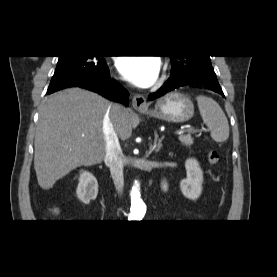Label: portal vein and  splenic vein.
I'll return each mask as SVG.
<instances>
[{
    "label": "portal vein and splenic vein",
    "instance_id": "18ae733b",
    "mask_svg": "<svg viewBox=\"0 0 277 277\" xmlns=\"http://www.w3.org/2000/svg\"><path fill=\"white\" fill-rule=\"evenodd\" d=\"M184 132H185V130H178V131H175V134L182 135Z\"/></svg>",
    "mask_w": 277,
    "mask_h": 277
}]
</instances>
